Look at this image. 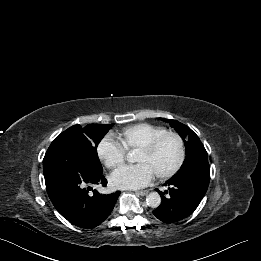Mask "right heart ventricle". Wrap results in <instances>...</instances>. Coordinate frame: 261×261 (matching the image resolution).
Masks as SVG:
<instances>
[{
	"instance_id": "1",
	"label": "right heart ventricle",
	"mask_w": 261,
	"mask_h": 261,
	"mask_svg": "<svg viewBox=\"0 0 261 261\" xmlns=\"http://www.w3.org/2000/svg\"><path fill=\"white\" fill-rule=\"evenodd\" d=\"M167 131L164 127L149 123H138L125 127L116 134V138L128 150H136Z\"/></svg>"
}]
</instances>
